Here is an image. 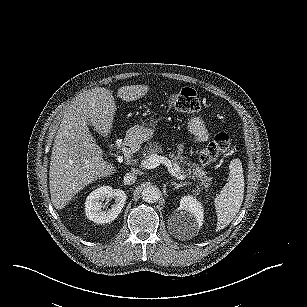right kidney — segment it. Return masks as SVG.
<instances>
[{"instance_id": "ca27d5eb", "label": "right kidney", "mask_w": 307, "mask_h": 307, "mask_svg": "<svg viewBox=\"0 0 307 307\" xmlns=\"http://www.w3.org/2000/svg\"><path fill=\"white\" fill-rule=\"evenodd\" d=\"M104 199H114L115 203L105 211L101 205ZM127 195L121 189H113L110 185H102L91 191L85 199V217L98 224L109 223L117 218L125 206Z\"/></svg>"}]
</instances>
